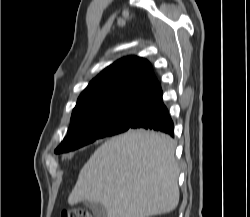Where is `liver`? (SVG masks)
<instances>
[{"label": "liver", "mask_w": 250, "mask_h": 217, "mask_svg": "<svg viewBox=\"0 0 250 217\" xmlns=\"http://www.w3.org/2000/svg\"><path fill=\"white\" fill-rule=\"evenodd\" d=\"M174 141L143 129L104 142L81 169L68 204L96 202L107 217H149L179 202Z\"/></svg>", "instance_id": "6515ba94"}]
</instances>
